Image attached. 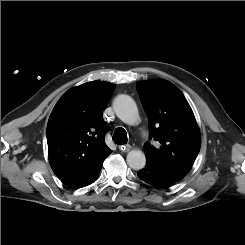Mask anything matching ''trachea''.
<instances>
[{
  "label": "trachea",
  "mask_w": 245,
  "mask_h": 245,
  "mask_svg": "<svg viewBox=\"0 0 245 245\" xmlns=\"http://www.w3.org/2000/svg\"><path fill=\"white\" fill-rule=\"evenodd\" d=\"M113 141L118 145L127 143V133L124 128L118 127L112 137Z\"/></svg>",
  "instance_id": "obj_1"
}]
</instances>
